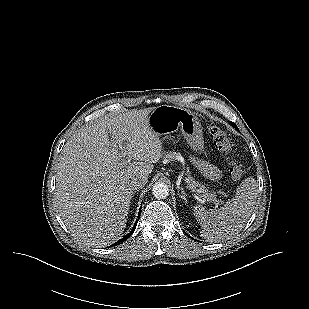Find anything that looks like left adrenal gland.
I'll list each match as a JSON object with an SVG mask.
<instances>
[{
  "label": "left adrenal gland",
  "mask_w": 309,
  "mask_h": 309,
  "mask_svg": "<svg viewBox=\"0 0 309 309\" xmlns=\"http://www.w3.org/2000/svg\"><path fill=\"white\" fill-rule=\"evenodd\" d=\"M182 194H183V195L181 196V198L184 199V200H186L185 194H184L183 192H182Z\"/></svg>",
  "instance_id": "obj_1"
}]
</instances>
